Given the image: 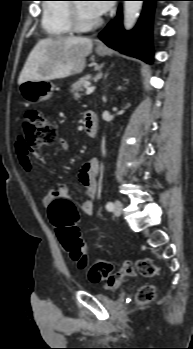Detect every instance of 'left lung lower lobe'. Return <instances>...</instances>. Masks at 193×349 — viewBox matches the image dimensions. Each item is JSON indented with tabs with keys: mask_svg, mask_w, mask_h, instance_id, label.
Instances as JSON below:
<instances>
[{
	"mask_svg": "<svg viewBox=\"0 0 193 349\" xmlns=\"http://www.w3.org/2000/svg\"><path fill=\"white\" fill-rule=\"evenodd\" d=\"M124 1V0H119ZM144 8L137 26L130 32L122 27L121 9L113 22L100 34V39L110 48L137 57L147 63L152 62L151 29L154 2L160 0H142Z\"/></svg>",
	"mask_w": 193,
	"mask_h": 349,
	"instance_id": "1",
	"label": "left lung lower lobe"
}]
</instances>
